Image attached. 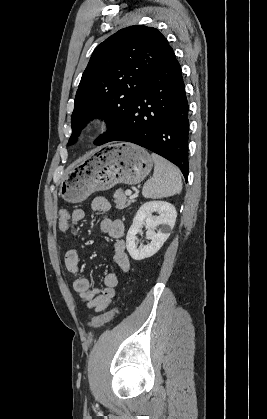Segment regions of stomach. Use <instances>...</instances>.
I'll use <instances>...</instances> for the list:
<instances>
[{
	"instance_id": "obj_1",
	"label": "stomach",
	"mask_w": 267,
	"mask_h": 419,
	"mask_svg": "<svg viewBox=\"0 0 267 419\" xmlns=\"http://www.w3.org/2000/svg\"><path fill=\"white\" fill-rule=\"evenodd\" d=\"M152 167L151 155L140 146L127 142L104 145L70 167L60 183L59 195L67 202L79 203L93 192L118 183L138 184Z\"/></svg>"
}]
</instances>
